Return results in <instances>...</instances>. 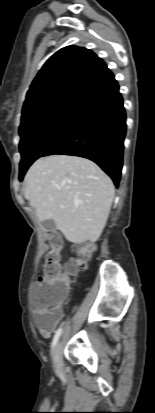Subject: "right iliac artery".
Segmentation results:
<instances>
[{"label":"right iliac artery","mask_w":155,"mask_h":413,"mask_svg":"<svg viewBox=\"0 0 155 413\" xmlns=\"http://www.w3.org/2000/svg\"><path fill=\"white\" fill-rule=\"evenodd\" d=\"M61 333H62V328H59V329L55 332V335H54V338H53V341H52V345H51L52 349L55 347V345H56V343H57V341H58Z\"/></svg>","instance_id":"1"}]
</instances>
